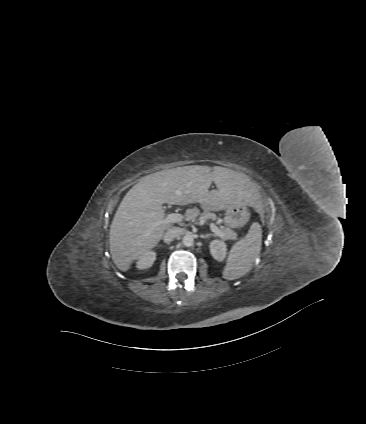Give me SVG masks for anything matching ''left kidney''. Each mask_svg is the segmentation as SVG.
I'll use <instances>...</instances> for the list:
<instances>
[{"mask_svg": "<svg viewBox=\"0 0 366 424\" xmlns=\"http://www.w3.org/2000/svg\"><path fill=\"white\" fill-rule=\"evenodd\" d=\"M226 244L224 241L221 240H213L210 243V252L211 255L216 259L217 261H223L226 257Z\"/></svg>", "mask_w": 366, "mask_h": 424, "instance_id": "obj_1", "label": "left kidney"}]
</instances>
